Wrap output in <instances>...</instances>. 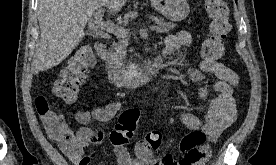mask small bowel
I'll list each match as a JSON object with an SVG mask.
<instances>
[{"instance_id": "small-bowel-1", "label": "small bowel", "mask_w": 276, "mask_h": 165, "mask_svg": "<svg viewBox=\"0 0 276 165\" xmlns=\"http://www.w3.org/2000/svg\"><path fill=\"white\" fill-rule=\"evenodd\" d=\"M192 37L187 31H179L166 37L164 56L177 53L182 48L190 46ZM206 75H213L217 81L213 84L216 96L209 98L208 89L199 88V95L206 103L204 119L197 115L181 110L179 118L181 123L190 131H202L210 142H215L221 134L237 119V109L233 99V93L239 83L238 74L218 61L203 60L199 68H190L188 77L191 81L201 83ZM119 109L118 102H111L104 107H96L90 111L77 110L71 114L73 121L80 127L73 135L77 141L75 150L65 149L59 142L60 149L74 165H90L96 157L94 150L88 154L84 149L100 145L105 138L104 126L111 121ZM48 128L47 122L42 119ZM66 127V125H65ZM67 128V127H66ZM115 162L117 165H204L210 156L209 145H204L195 156L184 155L180 159H174L171 155L155 156L153 153L137 151L135 159L131 158L125 146H114Z\"/></svg>"}]
</instances>
